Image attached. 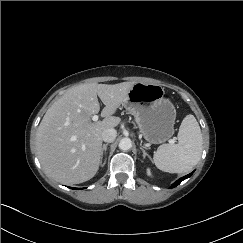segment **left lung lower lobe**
Here are the masks:
<instances>
[{
    "label": "left lung lower lobe",
    "instance_id": "1",
    "mask_svg": "<svg viewBox=\"0 0 243 243\" xmlns=\"http://www.w3.org/2000/svg\"><path fill=\"white\" fill-rule=\"evenodd\" d=\"M192 174H193V172L190 173V174H188V175H186V176H184V177H182V178H180V179L177 180L175 183H173L172 186H171L170 188H174V187H176V186L179 185L183 180L189 178Z\"/></svg>",
    "mask_w": 243,
    "mask_h": 243
}]
</instances>
